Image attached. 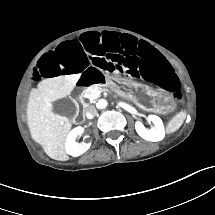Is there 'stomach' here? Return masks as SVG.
<instances>
[{
  "mask_svg": "<svg viewBox=\"0 0 215 215\" xmlns=\"http://www.w3.org/2000/svg\"><path fill=\"white\" fill-rule=\"evenodd\" d=\"M129 92L132 94V97L135 101H147V96L146 93L143 91H138V90H133V89H129Z\"/></svg>",
  "mask_w": 215,
  "mask_h": 215,
  "instance_id": "1",
  "label": "stomach"
}]
</instances>
